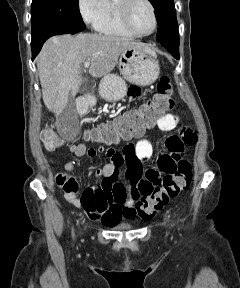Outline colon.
I'll return each mask as SVG.
<instances>
[{
  "mask_svg": "<svg viewBox=\"0 0 240 288\" xmlns=\"http://www.w3.org/2000/svg\"><path fill=\"white\" fill-rule=\"evenodd\" d=\"M174 90L171 80L163 75L156 86V92L151 99L140 107L122 114L110 127H106L88 139L110 138L130 135L145 128L152 127L165 113L174 106ZM42 141L47 150H54L60 145L58 136L52 130L42 133ZM193 176L192 166L189 161H178L175 171L163 177L161 184L155 187L148 195L134 199V210L143 220L153 218L171 199L186 190ZM56 183L63 188L66 194L76 195L79 192L78 182L66 175L59 174Z\"/></svg>",
  "mask_w": 240,
  "mask_h": 288,
  "instance_id": "colon-1",
  "label": "colon"
}]
</instances>
